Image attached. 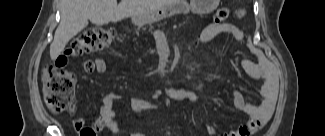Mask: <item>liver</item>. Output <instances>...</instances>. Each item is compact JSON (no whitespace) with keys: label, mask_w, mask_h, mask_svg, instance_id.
<instances>
[{"label":"liver","mask_w":325,"mask_h":136,"mask_svg":"<svg viewBox=\"0 0 325 136\" xmlns=\"http://www.w3.org/2000/svg\"><path fill=\"white\" fill-rule=\"evenodd\" d=\"M172 0H62L61 21L50 45V57L56 60L67 43L81 32L90 20L104 25L127 17L143 15L172 4Z\"/></svg>","instance_id":"6515ba94"}]
</instances>
